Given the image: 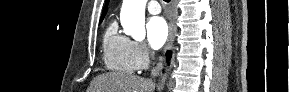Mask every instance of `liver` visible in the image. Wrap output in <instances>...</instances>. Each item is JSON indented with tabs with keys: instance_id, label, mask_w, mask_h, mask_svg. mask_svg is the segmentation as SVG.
<instances>
[{
	"instance_id": "obj_1",
	"label": "liver",
	"mask_w": 289,
	"mask_h": 92,
	"mask_svg": "<svg viewBox=\"0 0 289 92\" xmlns=\"http://www.w3.org/2000/svg\"><path fill=\"white\" fill-rule=\"evenodd\" d=\"M155 84L131 74L109 72L94 78L88 92H154Z\"/></svg>"
}]
</instances>
